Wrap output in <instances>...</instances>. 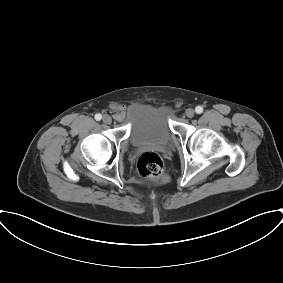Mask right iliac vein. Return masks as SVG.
I'll list each match as a JSON object with an SVG mask.
<instances>
[{
  "instance_id": "right-iliac-vein-1",
  "label": "right iliac vein",
  "mask_w": 283,
  "mask_h": 283,
  "mask_svg": "<svg viewBox=\"0 0 283 283\" xmlns=\"http://www.w3.org/2000/svg\"><path fill=\"white\" fill-rule=\"evenodd\" d=\"M102 120L105 124H110L112 122V118L107 114L103 116Z\"/></svg>"
}]
</instances>
